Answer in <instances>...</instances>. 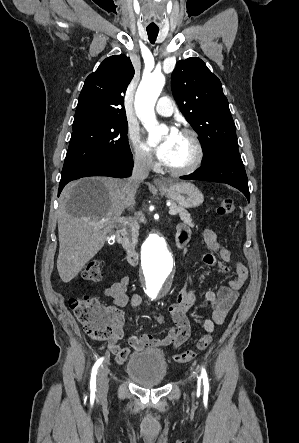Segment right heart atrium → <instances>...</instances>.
I'll use <instances>...</instances> for the list:
<instances>
[{
    "instance_id": "obj_1",
    "label": "right heart atrium",
    "mask_w": 299,
    "mask_h": 443,
    "mask_svg": "<svg viewBox=\"0 0 299 443\" xmlns=\"http://www.w3.org/2000/svg\"><path fill=\"white\" fill-rule=\"evenodd\" d=\"M128 138L135 164L143 169L151 168L153 166L152 156L140 141L138 133L135 130H129Z\"/></svg>"
}]
</instances>
